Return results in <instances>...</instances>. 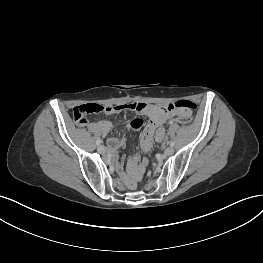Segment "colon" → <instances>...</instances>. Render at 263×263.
Returning a JSON list of instances; mask_svg holds the SVG:
<instances>
[{
	"mask_svg": "<svg viewBox=\"0 0 263 263\" xmlns=\"http://www.w3.org/2000/svg\"><path fill=\"white\" fill-rule=\"evenodd\" d=\"M177 103H180L182 105L184 104H189L191 105L192 107V110H194L196 108V104L193 103L192 101H189V100H180L178 101ZM106 110V107L103 106V105H100V104H96V103H89V104H84V105H80L78 107H76L74 109V120L75 122L81 126V124L85 123L86 122V116L89 115V114H96V113H104ZM191 120H192V117L191 115L189 116H183L182 118H177V117H174L170 120L167 121V125H166V139H164L162 141V144L161 146L157 149V153L156 155L153 157V161L151 162L150 166L148 167V169L146 170V174H145V179L147 180L150 176V171L152 170L153 166L155 165V163L157 162L159 156H160V152L163 150V148L165 147V145L167 146L169 143H170V137H171V130H172V126L174 125V123H179V124H182V125H190L191 124ZM142 179L141 181L144 183L146 180L145 179Z\"/></svg>",
	"mask_w": 263,
	"mask_h": 263,
	"instance_id": "colon-1",
	"label": "colon"
}]
</instances>
